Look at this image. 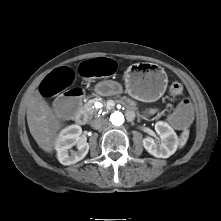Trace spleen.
Returning <instances> with one entry per match:
<instances>
[{
  "label": "spleen",
  "instance_id": "3e777b00",
  "mask_svg": "<svg viewBox=\"0 0 221 221\" xmlns=\"http://www.w3.org/2000/svg\"><path fill=\"white\" fill-rule=\"evenodd\" d=\"M188 137H189V131L185 129L180 136V141H179L180 147H183L186 144Z\"/></svg>",
  "mask_w": 221,
  "mask_h": 221
}]
</instances>
